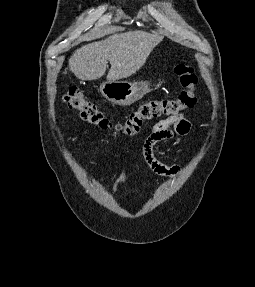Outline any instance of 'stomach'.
Returning a JSON list of instances; mask_svg holds the SVG:
<instances>
[{
  "label": "stomach",
  "instance_id": "obj_1",
  "mask_svg": "<svg viewBox=\"0 0 255 287\" xmlns=\"http://www.w3.org/2000/svg\"><path fill=\"white\" fill-rule=\"evenodd\" d=\"M150 90L149 82H103L100 84L99 92L112 104L118 106H130Z\"/></svg>",
  "mask_w": 255,
  "mask_h": 287
}]
</instances>
